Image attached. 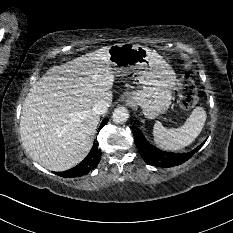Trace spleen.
<instances>
[{"mask_svg": "<svg viewBox=\"0 0 233 233\" xmlns=\"http://www.w3.org/2000/svg\"><path fill=\"white\" fill-rule=\"evenodd\" d=\"M206 121V111L196 107L179 128H165L157 121L153 127L154 142L164 150L178 151L190 145L201 133Z\"/></svg>", "mask_w": 233, "mask_h": 233, "instance_id": "spleen-1", "label": "spleen"}]
</instances>
